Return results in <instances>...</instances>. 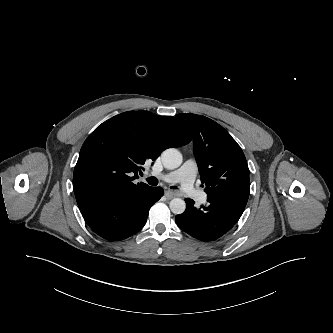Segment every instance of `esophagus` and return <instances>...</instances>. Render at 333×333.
Masks as SVG:
<instances>
[{
  "label": "esophagus",
  "instance_id": "1",
  "mask_svg": "<svg viewBox=\"0 0 333 333\" xmlns=\"http://www.w3.org/2000/svg\"><path fill=\"white\" fill-rule=\"evenodd\" d=\"M176 196H177V193H175V192H172V191H169V190L165 191V197L167 199H172Z\"/></svg>",
  "mask_w": 333,
  "mask_h": 333
}]
</instances>
